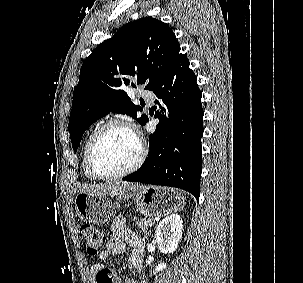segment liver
Instances as JSON below:
<instances>
[{"label":"liver","mask_w":303,"mask_h":283,"mask_svg":"<svg viewBox=\"0 0 303 283\" xmlns=\"http://www.w3.org/2000/svg\"><path fill=\"white\" fill-rule=\"evenodd\" d=\"M136 187L140 186L126 181L106 182L104 184H82L78 188V193L83 192L91 196L117 195Z\"/></svg>","instance_id":"obj_1"}]
</instances>
